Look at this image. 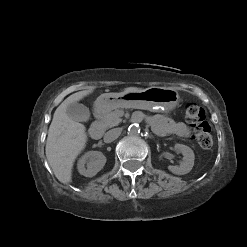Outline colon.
<instances>
[{
    "instance_id": "1",
    "label": "colon",
    "mask_w": 247,
    "mask_h": 247,
    "mask_svg": "<svg viewBox=\"0 0 247 247\" xmlns=\"http://www.w3.org/2000/svg\"><path fill=\"white\" fill-rule=\"evenodd\" d=\"M186 121L192 126L195 138L199 146L203 149H209L213 145L211 127L205 119V111L196 103H188L185 106Z\"/></svg>"
}]
</instances>
